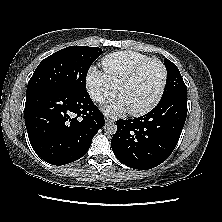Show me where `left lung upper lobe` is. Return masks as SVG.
<instances>
[{"label": "left lung upper lobe", "mask_w": 222, "mask_h": 222, "mask_svg": "<svg viewBox=\"0 0 222 222\" xmlns=\"http://www.w3.org/2000/svg\"><path fill=\"white\" fill-rule=\"evenodd\" d=\"M164 64L167 69V80L160 101L173 96L187 97V87L182 79V76L177 66L168 59L164 60Z\"/></svg>", "instance_id": "obj_1"}]
</instances>
